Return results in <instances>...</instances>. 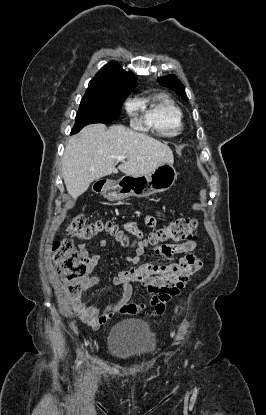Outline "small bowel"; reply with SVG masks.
<instances>
[{
    "mask_svg": "<svg viewBox=\"0 0 266 415\" xmlns=\"http://www.w3.org/2000/svg\"><path fill=\"white\" fill-rule=\"evenodd\" d=\"M159 218L160 214L158 212L152 215L143 214V221L149 227H156ZM123 227L138 240L134 256L126 258V261L133 266L111 278L114 285L121 286V291L115 299L104 306L88 304L85 300L87 292L101 280L100 275L93 274L100 257L97 254L89 255L84 244L78 246L80 254L87 263L89 275L82 280L79 293L73 296L72 306L79 317L95 330L105 324L117 312L135 314L146 305H149L155 309L156 313H161L165 304L172 297L178 295L189 283L191 277L202 268L201 259L192 253L197 246V243L193 240L179 244L155 245L151 248L153 253L164 259H169L176 254H185L178 262L142 263V258L148 248L144 242L143 234L139 230L138 221L127 222ZM99 245L106 248L108 242L102 239ZM135 282L141 283L149 292L145 304L129 303L132 295V284Z\"/></svg>",
    "mask_w": 266,
    "mask_h": 415,
    "instance_id": "1",
    "label": "small bowel"
}]
</instances>
